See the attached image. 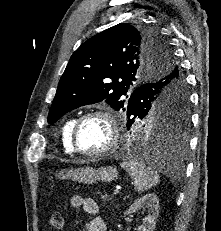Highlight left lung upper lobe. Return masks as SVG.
Segmentation results:
<instances>
[{"label":"left lung upper lobe","mask_w":221,"mask_h":231,"mask_svg":"<svg viewBox=\"0 0 221 231\" xmlns=\"http://www.w3.org/2000/svg\"><path fill=\"white\" fill-rule=\"evenodd\" d=\"M173 73L175 77L163 89L145 94L138 105L129 102L127 93L139 83L140 87L162 82ZM183 81L170 46L158 30L120 23L91 37L72 54L59 81L48 122H56L79 106L105 100L112 108L126 111L128 119L156 116L155 131L167 128L180 133L189 123L186 84L180 85ZM172 84H176L173 90H165ZM175 97L183 101L178 107H174Z\"/></svg>","instance_id":"1"}]
</instances>
